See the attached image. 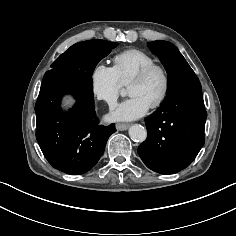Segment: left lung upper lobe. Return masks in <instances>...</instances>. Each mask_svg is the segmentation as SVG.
Listing matches in <instances>:
<instances>
[{
  "label": "left lung upper lobe",
  "instance_id": "1",
  "mask_svg": "<svg viewBox=\"0 0 236 236\" xmlns=\"http://www.w3.org/2000/svg\"><path fill=\"white\" fill-rule=\"evenodd\" d=\"M149 46L158 55L167 71L169 94L185 83L199 80L183 55L172 43L159 40L150 42Z\"/></svg>",
  "mask_w": 236,
  "mask_h": 236
}]
</instances>
